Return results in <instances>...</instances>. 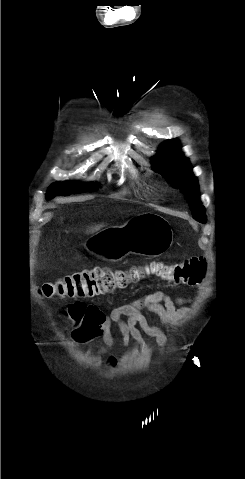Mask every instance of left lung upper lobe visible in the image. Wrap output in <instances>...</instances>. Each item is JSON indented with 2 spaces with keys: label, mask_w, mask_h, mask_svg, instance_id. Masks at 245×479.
<instances>
[{
  "label": "left lung upper lobe",
  "mask_w": 245,
  "mask_h": 479,
  "mask_svg": "<svg viewBox=\"0 0 245 479\" xmlns=\"http://www.w3.org/2000/svg\"><path fill=\"white\" fill-rule=\"evenodd\" d=\"M152 161V169L166 176L176 188L185 194L194 219L206 223L205 210L199 201L196 177L192 173L189 161L180 151L178 142L171 140L164 143Z\"/></svg>",
  "instance_id": "1"
}]
</instances>
